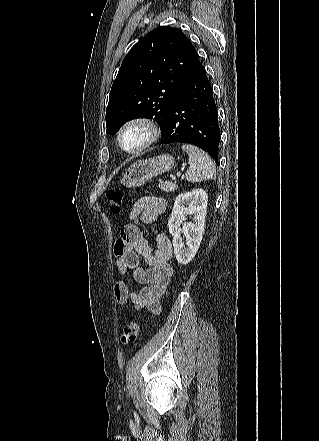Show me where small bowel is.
<instances>
[{
	"label": "small bowel",
	"instance_id": "small-bowel-1",
	"mask_svg": "<svg viewBox=\"0 0 319 441\" xmlns=\"http://www.w3.org/2000/svg\"><path fill=\"white\" fill-rule=\"evenodd\" d=\"M166 210V200L162 197L144 196L140 198L130 212L131 222L120 232V238L114 245L117 268L121 275L131 274L142 287L130 290L124 280L115 284L114 294L119 304L130 302L136 311L147 310L152 314L161 311V296L166 291L173 275L169 263L172 245L169 238L160 233L156 236V249L152 250L141 229L135 224L149 225L156 222L158 216ZM143 258L147 267L140 265Z\"/></svg>",
	"mask_w": 319,
	"mask_h": 441
}]
</instances>
